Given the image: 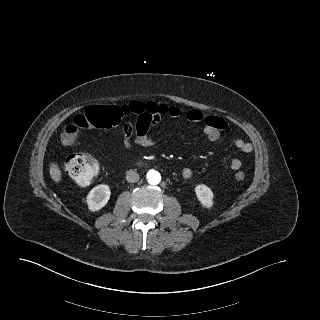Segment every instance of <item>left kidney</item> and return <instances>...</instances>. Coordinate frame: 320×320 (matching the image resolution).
Masks as SVG:
<instances>
[{
  "instance_id": "1",
  "label": "left kidney",
  "mask_w": 320,
  "mask_h": 320,
  "mask_svg": "<svg viewBox=\"0 0 320 320\" xmlns=\"http://www.w3.org/2000/svg\"><path fill=\"white\" fill-rule=\"evenodd\" d=\"M195 193L202 204L206 208H211L213 206V192L212 190L204 184L197 185L195 187Z\"/></svg>"
}]
</instances>
